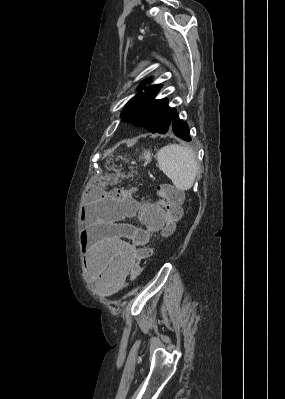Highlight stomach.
Masks as SVG:
<instances>
[{
	"label": "stomach",
	"instance_id": "0dacf381",
	"mask_svg": "<svg viewBox=\"0 0 285 399\" xmlns=\"http://www.w3.org/2000/svg\"><path fill=\"white\" fill-rule=\"evenodd\" d=\"M145 158H146V160H147V162L150 160V154L149 153H146L145 154Z\"/></svg>",
	"mask_w": 285,
	"mask_h": 399
}]
</instances>
